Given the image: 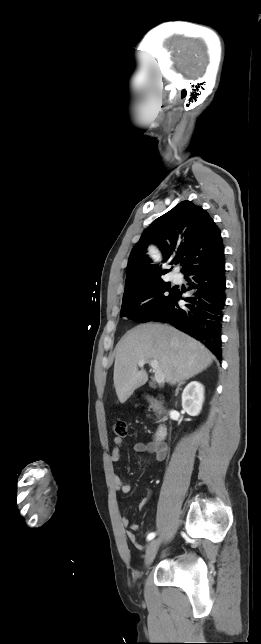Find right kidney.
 Masks as SVG:
<instances>
[{
  "label": "right kidney",
  "mask_w": 261,
  "mask_h": 644,
  "mask_svg": "<svg viewBox=\"0 0 261 644\" xmlns=\"http://www.w3.org/2000/svg\"><path fill=\"white\" fill-rule=\"evenodd\" d=\"M204 402V387L197 381L190 382L182 393V407L190 416H197Z\"/></svg>",
  "instance_id": "obj_1"
}]
</instances>
